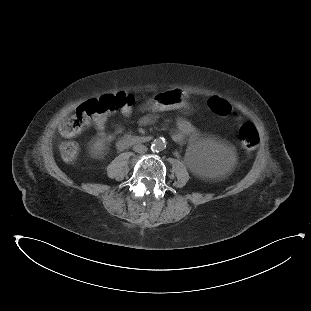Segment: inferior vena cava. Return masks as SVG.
<instances>
[{
	"instance_id": "1",
	"label": "inferior vena cava",
	"mask_w": 311,
	"mask_h": 311,
	"mask_svg": "<svg viewBox=\"0 0 311 311\" xmlns=\"http://www.w3.org/2000/svg\"><path fill=\"white\" fill-rule=\"evenodd\" d=\"M133 150L137 153L144 154L147 152V147L143 144H136L133 146Z\"/></svg>"
}]
</instances>
